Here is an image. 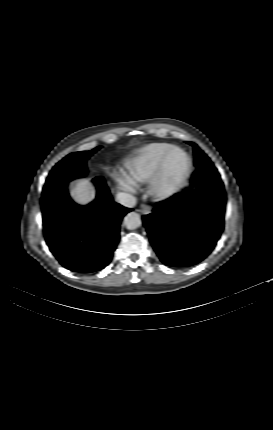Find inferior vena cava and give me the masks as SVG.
Listing matches in <instances>:
<instances>
[{
    "mask_svg": "<svg viewBox=\"0 0 273 430\" xmlns=\"http://www.w3.org/2000/svg\"><path fill=\"white\" fill-rule=\"evenodd\" d=\"M116 201L121 205L129 208H132L136 205V198L129 193H118L116 195Z\"/></svg>",
    "mask_w": 273,
    "mask_h": 430,
    "instance_id": "inferior-vena-cava-1",
    "label": "inferior vena cava"
}]
</instances>
